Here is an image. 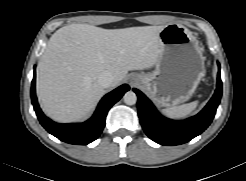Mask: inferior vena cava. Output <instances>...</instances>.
I'll return each instance as SVG.
<instances>
[{"label": "inferior vena cava", "instance_id": "602c4592", "mask_svg": "<svg viewBox=\"0 0 246 181\" xmlns=\"http://www.w3.org/2000/svg\"><path fill=\"white\" fill-rule=\"evenodd\" d=\"M113 80H114V76L110 71H103L99 75L97 82L101 87L108 88L112 86Z\"/></svg>", "mask_w": 246, "mask_h": 181}]
</instances>
